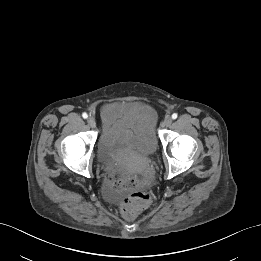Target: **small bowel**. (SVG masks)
<instances>
[{
  "label": "small bowel",
  "instance_id": "small-bowel-1",
  "mask_svg": "<svg viewBox=\"0 0 261 261\" xmlns=\"http://www.w3.org/2000/svg\"><path fill=\"white\" fill-rule=\"evenodd\" d=\"M104 132L111 135L118 130L151 128L156 120L150 107L142 103L110 102L101 109Z\"/></svg>",
  "mask_w": 261,
  "mask_h": 261
}]
</instances>
